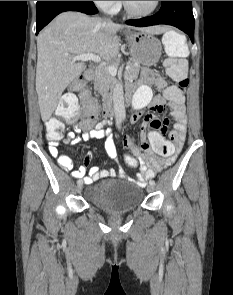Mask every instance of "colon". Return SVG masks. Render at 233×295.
I'll use <instances>...</instances> for the list:
<instances>
[{"label": "colon", "mask_w": 233, "mask_h": 295, "mask_svg": "<svg viewBox=\"0 0 233 295\" xmlns=\"http://www.w3.org/2000/svg\"><path fill=\"white\" fill-rule=\"evenodd\" d=\"M163 46L168 60L165 64L167 74L176 82L175 85L168 87L171 96L183 94L188 86L186 58L189 55V47L184 36L176 31H169L163 37ZM87 91L86 79L81 77L76 79L69 87L60 105L55 111V116L46 122L47 137L50 141H58L64 134L65 125L61 118L72 119L78 115V103L75 94L83 95ZM96 109H91L85 118L92 120L95 118ZM164 132L153 131L150 134V143L153 150L160 156H169L174 151V145L164 137ZM136 155V154H135ZM135 155H125L124 161L127 167L135 168L138 161Z\"/></svg>", "instance_id": "colon-1"}]
</instances>
